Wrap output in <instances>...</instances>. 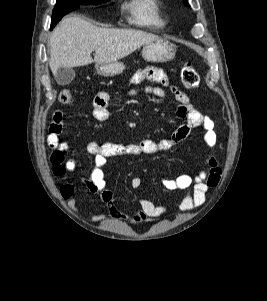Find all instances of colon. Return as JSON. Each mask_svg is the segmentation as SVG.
I'll return each mask as SVG.
<instances>
[{
	"label": "colon",
	"instance_id": "1",
	"mask_svg": "<svg viewBox=\"0 0 267 301\" xmlns=\"http://www.w3.org/2000/svg\"><path fill=\"white\" fill-rule=\"evenodd\" d=\"M181 82L187 89H194L199 84V75L191 63H186L181 69ZM59 102L68 104L72 100V94L68 89H63L59 93Z\"/></svg>",
	"mask_w": 267,
	"mask_h": 301
}]
</instances>
